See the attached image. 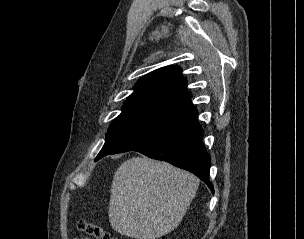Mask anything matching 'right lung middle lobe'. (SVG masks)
<instances>
[{
  "label": "right lung middle lobe",
  "instance_id": "dd1d6c3e",
  "mask_svg": "<svg viewBox=\"0 0 304 239\" xmlns=\"http://www.w3.org/2000/svg\"><path fill=\"white\" fill-rule=\"evenodd\" d=\"M169 120L144 112H122L110 125L96 161Z\"/></svg>",
  "mask_w": 304,
  "mask_h": 239
}]
</instances>
